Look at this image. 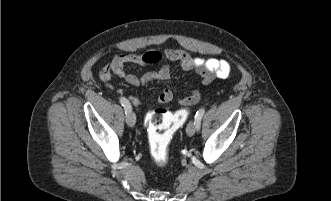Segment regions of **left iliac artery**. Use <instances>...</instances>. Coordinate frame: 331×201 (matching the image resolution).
I'll return each mask as SVG.
<instances>
[{
    "instance_id": "obj_1",
    "label": "left iliac artery",
    "mask_w": 331,
    "mask_h": 201,
    "mask_svg": "<svg viewBox=\"0 0 331 201\" xmlns=\"http://www.w3.org/2000/svg\"><path fill=\"white\" fill-rule=\"evenodd\" d=\"M204 113H205V109L202 108V109H200L199 111H197V113H196V115H195V122H196V125H197V130H198L199 127H200V121H201V119H202Z\"/></svg>"
}]
</instances>
